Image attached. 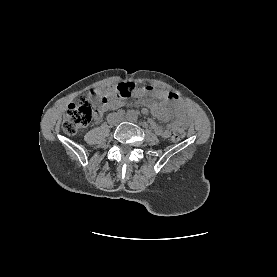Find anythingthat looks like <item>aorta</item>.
Segmentation results:
<instances>
[{
  "label": "aorta",
  "instance_id": "aorta-1",
  "mask_svg": "<svg viewBox=\"0 0 277 277\" xmlns=\"http://www.w3.org/2000/svg\"><path fill=\"white\" fill-rule=\"evenodd\" d=\"M138 118V114L135 110H128L126 113V119L129 122H135Z\"/></svg>",
  "mask_w": 277,
  "mask_h": 277
}]
</instances>
